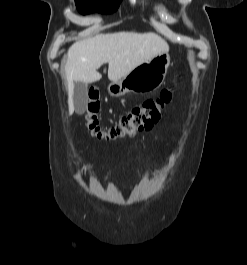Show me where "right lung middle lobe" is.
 <instances>
[{
    "mask_svg": "<svg viewBox=\"0 0 247 265\" xmlns=\"http://www.w3.org/2000/svg\"><path fill=\"white\" fill-rule=\"evenodd\" d=\"M121 0H75L80 13L89 14L92 12L111 13L114 12Z\"/></svg>",
    "mask_w": 247,
    "mask_h": 265,
    "instance_id": "1",
    "label": "right lung middle lobe"
}]
</instances>
